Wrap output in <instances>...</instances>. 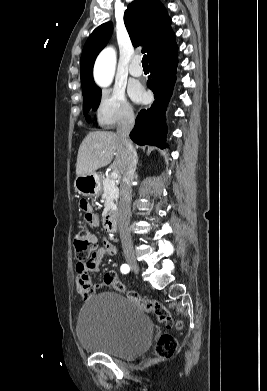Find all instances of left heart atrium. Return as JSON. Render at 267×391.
Listing matches in <instances>:
<instances>
[{
	"mask_svg": "<svg viewBox=\"0 0 267 391\" xmlns=\"http://www.w3.org/2000/svg\"><path fill=\"white\" fill-rule=\"evenodd\" d=\"M130 95L136 101L142 100L144 96L143 90L139 85H132L130 87Z\"/></svg>",
	"mask_w": 267,
	"mask_h": 391,
	"instance_id": "1",
	"label": "left heart atrium"
}]
</instances>
